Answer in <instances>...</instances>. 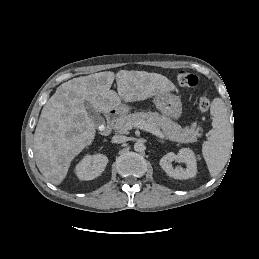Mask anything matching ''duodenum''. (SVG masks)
<instances>
[{
  "mask_svg": "<svg viewBox=\"0 0 259 259\" xmlns=\"http://www.w3.org/2000/svg\"><path fill=\"white\" fill-rule=\"evenodd\" d=\"M119 115L118 109H110L106 112V124L103 129L100 130L102 135H108L111 132L113 122Z\"/></svg>",
  "mask_w": 259,
  "mask_h": 259,
  "instance_id": "duodenum-1",
  "label": "duodenum"
}]
</instances>
